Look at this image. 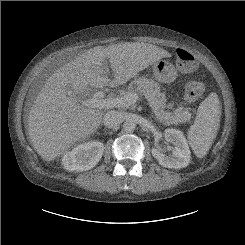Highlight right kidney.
I'll list each match as a JSON object with an SVG mask.
<instances>
[{
	"label": "right kidney",
	"instance_id": "right-kidney-1",
	"mask_svg": "<svg viewBox=\"0 0 245 245\" xmlns=\"http://www.w3.org/2000/svg\"><path fill=\"white\" fill-rule=\"evenodd\" d=\"M104 144L99 141L82 143L62 157V165L68 171L90 170L100 161Z\"/></svg>",
	"mask_w": 245,
	"mask_h": 245
}]
</instances>
